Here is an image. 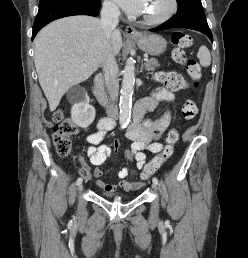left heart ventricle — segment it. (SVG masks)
Masks as SVG:
<instances>
[{
  "label": "left heart ventricle",
  "mask_w": 248,
  "mask_h": 258,
  "mask_svg": "<svg viewBox=\"0 0 248 258\" xmlns=\"http://www.w3.org/2000/svg\"><path fill=\"white\" fill-rule=\"evenodd\" d=\"M170 0H147L146 7L142 13L145 18L161 16L169 8Z\"/></svg>",
  "instance_id": "b2bd125f"
}]
</instances>
